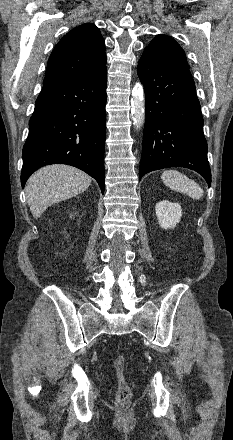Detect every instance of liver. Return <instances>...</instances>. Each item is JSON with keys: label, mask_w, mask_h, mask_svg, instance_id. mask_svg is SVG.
<instances>
[{"label": "liver", "mask_w": 233, "mask_h": 440, "mask_svg": "<svg viewBox=\"0 0 233 440\" xmlns=\"http://www.w3.org/2000/svg\"><path fill=\"white\" fill-rule=\"evenodd\" d=\"M91 178L68 165H49L36 171L27 181V203L34 218H39L51 205L84 192Z\"/></svg>", "instance_id": "1"}]
</instances>
